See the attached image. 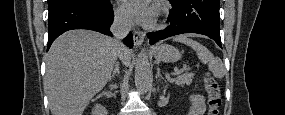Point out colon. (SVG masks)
Returning a JSON list of instances; mask_svg holds the SVG:
<instances>
[{
    "mask_svg": "<svg viewBox=\"0 0 285 115\" xmlns=\"http://www.w3.org/2000/svg\"><path fill=\"white\" fill-rule=\"evenodd\" d=\"M204 85L207 92V104H208V115L219 114V108L221 106V94L220 88L216 80L206 75L204 77Z\"/></svg>",
    "mask_w": 285,
    "mask_h": 115,
    "instance_id": "5ec220e1",
    "label": "colon"
}]
</instances>
